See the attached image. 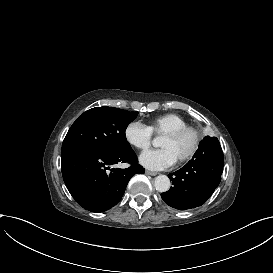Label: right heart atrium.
I'll return each instance as SVG.
<instances>
[{"mask_svg":"<svg viewBox=\"0 0 273 273\" xmlns=\"http://www.w3.org/2000/svg\"><path fill=\"white\" fill-rule=\"evenodd\" d=\"M126 140L138 149L147 148L152 141V133L139 122H131L125 128Z\"/></svg>","mask_w":273,"mask_h":273,"instance_id":"1","label":"right heart atrium"}]
</instances>
